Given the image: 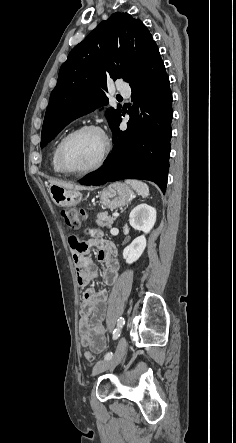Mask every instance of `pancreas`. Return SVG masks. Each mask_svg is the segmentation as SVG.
Masks as SVG:
<instances>
[{"instance_id": "1", "label": "pancreas", "mask_w": 236, "mask_h": 443, "mask_svg": "<svg viewBox=\"0 0 236 443\" xmlns=\"http://www.w3.org/2000/svg\"><path fill=\"white\" fill-rule=\"evenodd\" d=\"M115 217L108 216L107 213H99L97 214L96 223L99 227L112 228Z\"/></svg>"}]
</instances>
